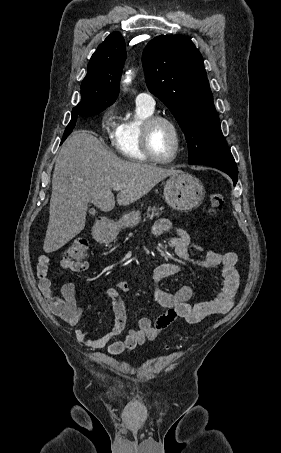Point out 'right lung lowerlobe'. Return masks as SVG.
<instances>
[{"mask_svg": "<svg viewBox=\"0 0 281 453\" xmlns=\"http://www.w3.org/2000/svg\"><path fill=\"white\" fill-rule=\"evenodd\" d=\"M100 112L101 111L96 110L94 108L73 109L71 121L68 124V126L66 127L61 144L64 142V140L67 138V136L73 131V128L75 127L78 116L89 117V116L95 115Z\"/></svg>", "mask_w": 281, "mask_h": 453, "instance_id": "right-lung-lower-lobe-1", "label": "right lung lower lobe"}]
</instances>
